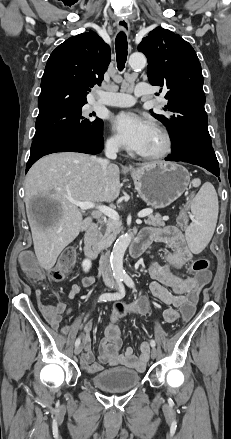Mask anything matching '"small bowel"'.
I'll use <instances>...</instances> for the list:
<instances>
[{
	"label": "small bowel",
	"mask_w": 231,
	"mask_h": 439,
	"mask_svg": "<svg viewBox=\"0 0 231 439\" xmlns=\"http://www.w3.org/2000/svg\"><path fill=\"white\" fill-rule=\"evenodd\" d=\"M139 237L143 238L148 245L156 242L162 243L167 247L164 253V264L152 262L149 266V273L152 278L150 291L157 300L168 307L163 313L165 321L173 323L180 318L178 313L179 305L187 297V291L198 283L194 276H180L175 273V270L184 267L190 261L192 253L184 235L175 226L145 229ZM94 282L95 278L91 275L82 277L71 286L68 297L74 299L82 288L89 287ZM125 307L126 312L140 315H147L151 308L150 301L146 296L139 297ZM54 310L56 317L49 320V322L54 329H58L62 314H69L71 308L67 307L65 303L60 302L54 307ZM117 321L111 315V322L106 326L104 338L100 344L99 362H95L90 337L87 334L83 335L81 365L87 373L96 374L100 372L103 369L102 364L112 367L125 366L137 371L144 370L149 359L148 343L144 341L140 344L141 354L139 356L134 354L132 347H126L121 350L122 339ZM91 327V323H88L85 327L86 332H89ZM62 331L68 333L69 328L65 326L62 328Z\"/></svg>",
	"instance_id": "small-bowel-1"
}]
</instances>
